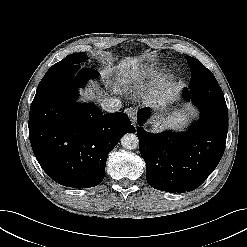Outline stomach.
I'll use <instances>...</instances> for the list:
<instances>
[{
    "instance_id": "obj_1",
    "label": "stomach",
    "mask_w": 247,
    "mask_h": 247,
    "mask_svg": "<svg viewBox=\"0 0 247 247\" xmlns=\"http://www.w3.org/2000/svg\"><path fill=\"white\" fill-rule=\"evenodd\" d=\"M180 119H176L175 121H174V123H176L177 121H179ZM165 126V122H163L162 120H156L155 122H154V124H153V127H154V129H161V128H163Z\"/></svg>"
}]
</instances>
